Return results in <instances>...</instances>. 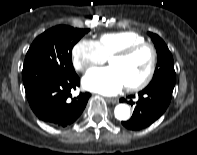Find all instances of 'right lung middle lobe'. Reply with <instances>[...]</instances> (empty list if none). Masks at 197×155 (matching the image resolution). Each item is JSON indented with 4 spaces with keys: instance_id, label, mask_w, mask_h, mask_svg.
Masks as SVG:
<instances>
[{
    "instance_id": "1",
    "label": "right lung middle lobe",
    "mask_w": 197,
    "mask_h": 155,
    "mask_svg": "<svg viewBox=\"0 0 197 155\" xmlns=\"http://www.w3.org/2000/svg\"><path fill=\"white\" fill-rule=\"evenodd\" d=\"M88 31L59 25L39 35L24 61L22 76L25 92L29 93L47 81L75 73L72 48Z\"/></svg>"
}]
</instances>
